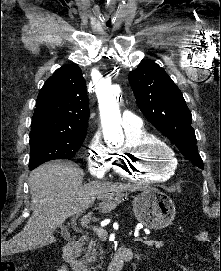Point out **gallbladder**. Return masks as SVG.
Masks as SVG:
<instances>
[{"label":"gallbladder","instance_id":"1","mask_svg":"<svg viewBox=\"0 0 221 271\" xmlns=\"http://www.w3.org/2000/svg\"><path fill=\"white\" fill-rule=\"evenodd\" d=\"M62 227H64V225H60V229H62Z\"/></svg>","mask_w":221,"mask_h":271}]
</instances>
